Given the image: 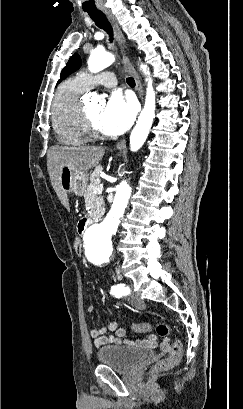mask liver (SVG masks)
<instances>
[{
  "label": "liver",
  "mask_w": 243,
  "mask_h": 409,
  "mask_svg": "<svg viewBox=\"0 0 243 409\" xmlns=\"http://www.w3.org/2000/svg\"><path fill=\"white\" fill-rule=\"evenodd\" d=\"M105 149L101 146L63 147L52 146L47 153V169L51 184L62 205L69 210L68 196L60 186V172L68 165L72 172H87L99 164Z\"/></svg>",
  "instance_id": "obj_1"
}]
</instances>
